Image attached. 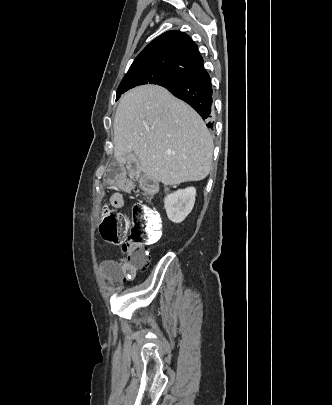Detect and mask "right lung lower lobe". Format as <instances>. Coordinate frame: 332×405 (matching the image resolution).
<instances>
[{
	"mask_svg": "<svg viewBox=\"0 0 332 405\" xmlns=\"http://www.w3.org/2000/svg\"><path fill=\"white\" fill-rule=\"evenodd\" d=\"M165 88L174 96L192 106L203 119L210 116L213 107V91L207 71H199ZM207 126L212 127L213 123H208Z\"/></svg>",
	"mask_w": 332,
	"mask_h": 405,
	"instance_id": "1",
	"label": "right lung lower lobe"
}]
</instances>
